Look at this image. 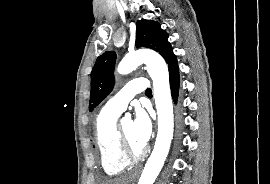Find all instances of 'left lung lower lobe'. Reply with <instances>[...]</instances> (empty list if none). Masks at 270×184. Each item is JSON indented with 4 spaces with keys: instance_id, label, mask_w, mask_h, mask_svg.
<instances>
[{
    "instance_id": "1",
    "label": "left lung lower lobe",
    "mask_w": 270,
    "mask_h": 184,
    "mask_svg": "<svg viewBox=\"0 0 270 184\" xmlns=\"http://www.w3.org/2000/svg\"><path fill=\"white\" fill-rule=\"evenodd\" d=\"M167 64L169 68L171 94H172L174 102L176 103L178 99V93H179V68H178L177 58L174 54L169 59Z\"/></svg>"
}]
</instances>
